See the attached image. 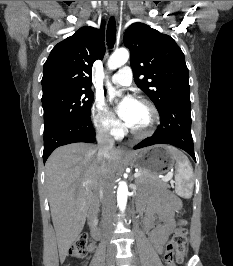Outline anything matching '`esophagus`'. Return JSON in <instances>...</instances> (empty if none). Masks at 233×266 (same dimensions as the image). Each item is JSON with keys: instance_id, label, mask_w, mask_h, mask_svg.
Here are the masks:
<instances>
[{"instance_id": "esophagus-1", "label": "esophagus", "mask_w": 233, "mask_h": 266, "mask_svg": "<svg viewBox=\"0 0 233 266\" xmlns=\"http://www.w3.org/2000/svg\"><path fill=\"white\" fill-rule=\"evenodd\" d=\"M109 12L111 13V15L117 17L118 10H117V5H116L115 1H110ZM120 152L122 154H129L130 153L129 149L126 146H121Z\"/></svg>"}]
</instances>
